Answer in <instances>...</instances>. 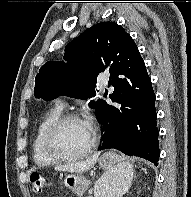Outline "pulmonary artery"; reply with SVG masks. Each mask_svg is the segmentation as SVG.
Returning a JSON list of instances; mask_svg holds the SVG:
<instances>
[{"mask_svg":"<svg viewBox=\"0 0 191 197\" xmlns=\"http://www.w3.org/2000/svg\"><path fill=\"white\" fill-rule=\"evenodd\" d=\"M107 84L106 80H101L100 85L104 88ZM58 106L62 109L65 106V103L63 101H58Z\"/></svg>","mask_w":191,"mask_h":197,"instance_id":"e3ab8cb5","label":"pulmonary artery"}]
</instances>
